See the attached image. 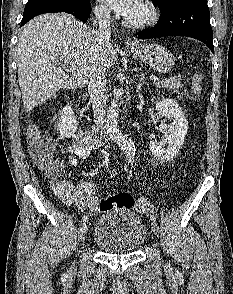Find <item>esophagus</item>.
Returning <instances> with one entry per match:
<instances>
[{
    "label": "esophagus",
    "mask_w": 233,
    "mask_h": 294,
    "mask_svg": "<svg viewBox=\"0 0 233 294\" xmlns=\"http://www.w3.org/2000/svg\"><path fill=\"white\" fill-rule=\"evenodd\" d=\"M125 45H126L127 47H135V46H136V43L133 42V41H131V40H126V41H125Z\"/></svg>",
    "instance_id": "34e87169"
}]
</instances>
